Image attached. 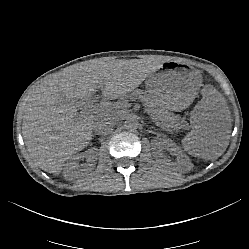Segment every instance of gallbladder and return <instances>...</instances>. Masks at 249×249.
Masks as SVG:
<instances>
[{"instance_id":"1","label":"gallbladder","mask_w":249,"mask_h":249,"mask_svg":"<svg viewBox=\"0 0 249 249\" xmlns=\"http://www.w3.org/2000/svg\"><path fill=\"white\" fill-rule=\"evenodd\" d=\"M83 107H85V105H82ZM182 122H183V119H182Z\"/></svg>"}]
</instances>
